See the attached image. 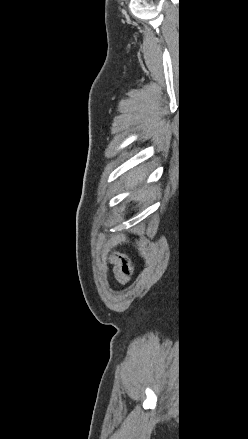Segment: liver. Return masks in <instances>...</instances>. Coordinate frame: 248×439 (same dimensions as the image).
<instances>
[{"mask_svg":"<svg viewBox=\"0 0 248 439\" xmlns=\"http://www.w3.org/2000/svg\"><path fill=\"white\" fill-rule=\"evenodd\" d=\"M146 177L144 167L136 168L134 171H130L125 178L126 189H131L139 185ZM154 193V190H147L143 187L137 190L134 194L130 195V199L133 201L143 202L146 198H149Z\"/></svg>","mask_w":248,"mask_h":439,"instance_id":"6515ba94","label":"liver"}]
</instances>
